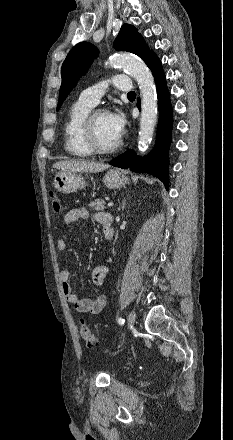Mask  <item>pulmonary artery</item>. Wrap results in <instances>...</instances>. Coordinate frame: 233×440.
<instances>
[{
  "mask_svg": "<svg viewBox=\"0 0 233 440\" xmlns=\"http://www.w3.org/2000/svg\"><path fill=\"white\" fill-rule=\"evenodd\" d=\"M113 85L121 91H131V83L127 75H115L111 79ZM104 83H96L89 88L81 92L79 100L89 104L90 106H95L100 101V98L104 94Z\"/></svg>",
  "mask_w": 233,
  "mask_h": 440,
  "instance_id": "pulmonary-artery-1",
  "label": "pulmonary artery"
}]
</instances>
